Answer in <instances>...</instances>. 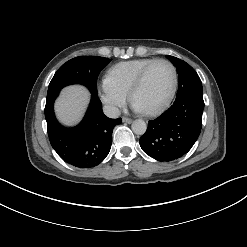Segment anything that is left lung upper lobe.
Wrapping results in <instances>:
<instances>
[{"mask_svg":"<svg viewBox=\"0 0 247 247\" xmlns=\"http://www.w3.org/2000/svg\"><path fill=\"white\" fill-rule=\"evenodd\" d=\"M166 57L177 68L179 86L176 96L190 91H202L201 80L196 71L188 63L174 56L167 55Z\"/></svg>","mask_w":247,"mask_h":247,"instance_id":"5c2ea615","label":"left lung upper lobe"}]
</instances>
